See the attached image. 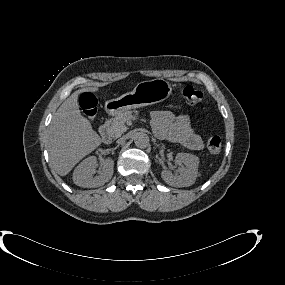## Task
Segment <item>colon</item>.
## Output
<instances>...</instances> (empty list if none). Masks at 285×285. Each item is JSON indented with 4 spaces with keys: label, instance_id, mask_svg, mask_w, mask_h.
<instances>
[{
    "label": "colon",
    "instance_id": "colon-1",
    "mask_svg": "<svg viewBox=\"0 0 285 285\" xmlns=\"http://www.w3.org/2000/svg\"><path fill=\"white\" fill-rule=\"evenodd\" d=\"M203 97V94L200 90L196 89L193 86H185L181 91V98L185 105L194 106L198 104ZM80 105L84 113L92 118L96 114L97 102L95 97L90 93H85L80 97ZM207 150L216 154L220 152L222 147V139L218 135L211 136L206 142Z\"/></svg>",
    "mask_w": 285,
    "mask_h": 285
}]
</instances>
